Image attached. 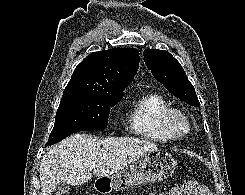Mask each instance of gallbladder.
Here are the masks:
<instances>
[{
  "label": "gallbladder",
  "instance_id": "obj_1",
  "mask_svg": "<svg viewBox=\"0 0 245 195\" xmlns=\"http://www.w3.org/2000/svg\"><path fill=\"white\" fill-rule=\"evenodd\" d=\"M70 190V186L68 184H59L53 191L54 195H67Z\"/></svg>",
  "mask_w": 245,
  "mask_h": 195
}]
</instances>
